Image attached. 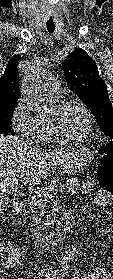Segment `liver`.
Segmentation results:
<instances>
[{
	"label": "liver",
	"mask_w": 113,
	"mask_h": 279,
	"mask_svg": "<svg viewBox=\"0 0 113 279\" xmlns=\"http://www.w3.org/2000/svg\"><path fill=\"white\" fill-rule=\"evenodd\" d=\"M71 150L45 152L26 145L16 136L0 135V208L7 196L19 186V172H24L23 184H38L63 163Z\"/></svg>",
	"instance_id": "liver-1"
}]
</instances>
